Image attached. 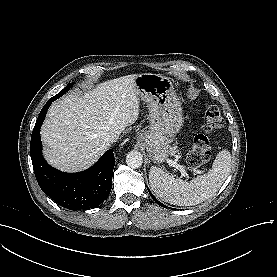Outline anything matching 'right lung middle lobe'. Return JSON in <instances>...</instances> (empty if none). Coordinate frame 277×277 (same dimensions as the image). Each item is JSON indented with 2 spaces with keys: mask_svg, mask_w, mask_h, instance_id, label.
Instances as JSON below:
<instances>
[{
  "mask_svg": "<svg viewBox=\"0 0 277 277\" xmlns=\"http://www.w3.org/2000/svg\"><path fill=\"white\" fill-rule=\"evenodd\" d=\"M73 82L71 84H68L62 91H60L57 95L53 96L51 99L54 101L58 98H60L62 95H64L66 92L69 91V89L73 86Z\"/></svg>",
  "mask_w": 277,
  "mask_h": 277,
  "instance_id": "obj_1",
  "label": "right lung middle lobe"
}]
</instances>
